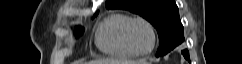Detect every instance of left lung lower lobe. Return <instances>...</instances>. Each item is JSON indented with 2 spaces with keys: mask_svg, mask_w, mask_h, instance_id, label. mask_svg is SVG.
Returning <instances> with one entry per match:
<instances>
[{
  "mask_svg": "<svg viewBox=\"0 0 242 64\" xmlns=\"http://www.w3.org/2000/svg\"><path fill=\"white\" fill-rule=\"evenodd\" d=\"M182 54H183V56H184L188 61H190L188 50H183V51H182Z\"/></svg>",
  "mask_w": 242,
  "mask_h": 64,
  "instance_id": "left-lung-lower-lobe-1",
  "label": "left lung lower lobe"
}]
</instances>
